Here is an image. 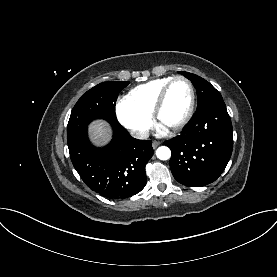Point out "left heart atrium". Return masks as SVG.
<instances>
[{
	"mask_svg": "<svg viewBox=\"0 0 277 277\" xmlns=\"http://www.w3.org/2000/svg\"><path fill=\"white\" fill-rule=\"evenodd\" d=\"M165 131H166V127L163 126V125H160V126H159V132H160V133H164Z\"/></svg>",
	"mask_w": 277,
	"mask_h": 277,
	"instance_id": "obj_1",
	"label": "left heart atrium"
}]
</instances>
